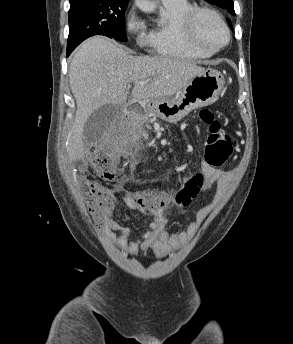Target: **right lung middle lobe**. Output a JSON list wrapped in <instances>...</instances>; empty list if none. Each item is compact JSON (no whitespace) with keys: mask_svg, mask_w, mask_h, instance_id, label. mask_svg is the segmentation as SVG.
Instances as JSON below:
<instances>
[{"mask_svg":"<svg viewBox=\"0 0 293 344\" xmlns=\"http://www.w3.org/2000/svg\"><path fill=\"white\" fill-rule=\"evenodd\" d=\"M128 2L83 0L70 3L67 55L83 40L93 35H104L126 41L125 10Z\"/></svg>","mask_w":293,"mask_h":344,"instance_id":"obj_1","label":"right lung middle lobe"}]
</instances>
